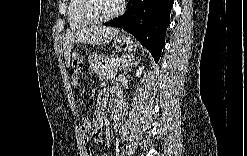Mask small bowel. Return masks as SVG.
<instances>
[{
    "label": "small bowel",
    "instance_id": "small-bowel-1",
    "mask_svg": "<svg viewBox=\"0 0 247 156\" xmlns=\"http://www.w3.org/2000/svg\"><path fill=\"white\" fill-rule=\"evenodd\" d=\"M81 67H82V64L76 62V63L73 64V66L71 68L70 74H71V77L73 79L74 84H77L78 76H79V72L81 70ZM108 96H109V91L108 90H104L100 95L99 105H98L99 118H101L102 111H103V108H104V103L108 99ZM83 133H84V129H83ZM95 140L97 142H101L102 138H101V136L99 134H97L95 136ZM84 141H85V144H86L85 153H86V155H91L92 154V150H91V148L89 146L90 137L86 136L85 133H84Z\"/></svg>",
    "mask_w": 247,
    "mask_h": 156
}]
</instances>
